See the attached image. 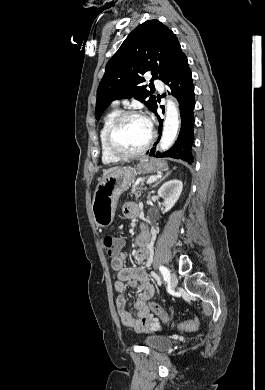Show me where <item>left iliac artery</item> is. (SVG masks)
I'll list each match as a JSON object with an SVG mask.
<instances>
[{
    "label": "left iliac artery",
    "mask_w": 265,
    "mask_h": 390,
    "mask_svg": "<svg viewBox=\"0 0 265 390\" xmlns=\"http://www.w3.org/2000/svg\"><path fill=\"white\" fill-rule=\"evenodd\" d=\"M159 270L164 278L165 281H169L170 279V272L165 266H159ZM160 283V281H158Z\"/></svg>",
    "instance_id": "44dca946"
}]
</instances>
